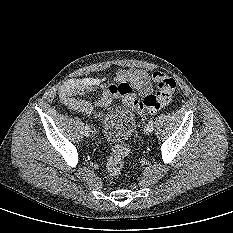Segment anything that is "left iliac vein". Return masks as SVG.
<instances>
[{"instance_id": "obj_1", "label": "left iliac vein", "mask_w": 233, "mask_h": 233, "mask_svg": "<svg viewBox=\"0 0 233 233\" xmlns=\"http://www.w3.org/2000/svg\"><path fill=\"white\" fill-rule=\"evenodd\" d=\"M144 131H145L146 134H149V133L152 132V131L149 130L148 126L145 127Z\"/></svg>"}]
</instances>
